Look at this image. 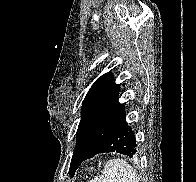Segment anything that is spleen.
Here are the masks:
<instances>
[{
  "mask_svg": "<svg viewBox=\"0 0 196 182\" xmlns=\"http://www.w3.org/2000/svg\"><path fill=\"white\" fill-rule=\"evenodd\" d=\"M90 182H140L133 167L122 159H111L106 164L100 177Z\"/></svg>",
  "mask_w": 196,
  "mask_h": 182,
  "instance_id": "1",
  "label": "spleen"
}]
</instances>
